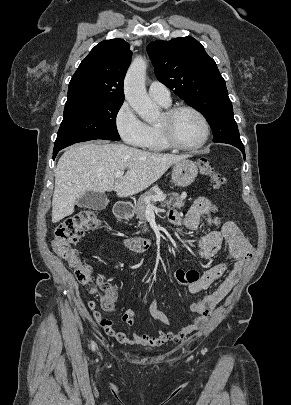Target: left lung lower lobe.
Segmentation results:
<instances>
[{"mask_svg": "<svg viewBox=\"0 0 291 405\" xmlns=\"http://www.w3.org/2000/svg\"><path fill=\"white\" fill-rule=\"evenodd\" d=\"M231 145H233V146L237 147L238 149H240L242 151V153H243L244 158H245V151H244L243 144H239V145L238 144H231Z\"/></svg>", "mask_w": 291, "mask_h": 405, "instance_id": "left-lung-lower-lobe-1", "label": "left lung lower lobe"}]
</instances>
